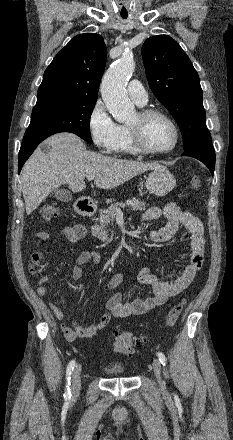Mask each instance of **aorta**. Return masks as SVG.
<instances>
[{"instance_id":"1","label":"aorta","mask_w":233,"mask_h":440,"mask_svg":"<svg viewBox=\"0 0 233 440\" xmlns=\"http://www.w3.org/2000/svg\"><path fill=\"white\" fill-rule=\"evenodd\" d=\"M133 70L132 54L126 53L106 71L102 79V99L109 113L119 123L128 122L135 115L134 105L130 102L125 88Z\"/></svg>"}]
</instances>
